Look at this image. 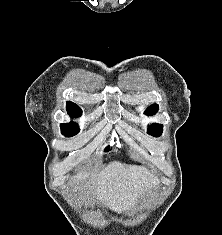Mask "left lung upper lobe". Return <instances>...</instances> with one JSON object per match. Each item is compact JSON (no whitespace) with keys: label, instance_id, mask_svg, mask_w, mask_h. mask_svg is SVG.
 Returning a JSON list of instances; mask_svg holds the SVG:
<instances>
[{"label":"left lung upper lobe","instance_id":"obj_1","mask_svg":"<svg viewBox=\"0 0 222 235\" xmlns=\"http://www.w3.org/2000/svg\"><path fill=\"white\" fill-rule=\"evenodd\" d=\"M158 111V105L153 104L150 105L146 110H145V114L146 115H153ZM162 128L163 125L161 124H152L149 126L148 128V134L153 135V136H160L162 133Z\"/></svg>","mask_w":222,"mask_h":235}]
</instances>
